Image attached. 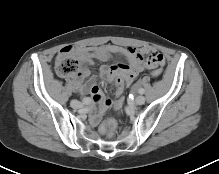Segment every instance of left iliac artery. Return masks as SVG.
I'll list each match as a JSON object with an SVG mask.
<instances>
[{
  "mask_svg": "<svg viewBox=\"0 0 219 174\" xmlns=\"http://www.w3.org/2000/svg\"><path fill=\"white\" fill-rule=\"evenodd\" d=\"M138 92H139L140 94H143V93H144V89H143V88H140V89L138 90Z\"/></svg>",
  "mask_w": 219,
  "mask_h": 174,
  "instance_id": "left-iliac-artery-1",
  "label": "left iliac artery"
}]
</instances>
